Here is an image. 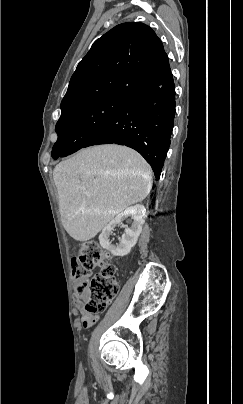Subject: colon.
<instances>
[{
    "instance_id": "colon-1",
    "label": "colon",
    "mask_w": 243,
    "mask_h": 404,
    "mask_svg": "<svg viewBox=\"0 0 243 404\" xmlns=\"http://www.w3.org/2000/svg\"><path fill=\"white\" fill-rule=\"evenodd\" d=\"M72 266L75 297L82 300L86 313H102L118 291L116 268L109 261L107 252L94 241L85 242ZM97 267L100 271L91 277V272Z\"/></svg>"
}]
</instances>
